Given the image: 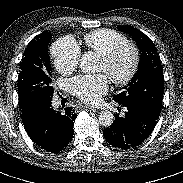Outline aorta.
<instances>
[{
	"label": "aorta",
	"mask_w": 183,
	"mask_h": 183,
	"mask_svg": "<svg viewBox=\"0 0 183 183\" xmlns=\"http://www.w3.org/2000/svg\"><path fill=\"white\" fill-rule=\"evenodd\" d=\"M97 61V55L94 52H86L80 59L79 67L84 73H92L97 69ZM98 120L101 125L109 127L114 122V115L108 110L102 111L98 116Z\"/></svg>",
	"instance_id": "obj_1"
}]
</instances>
